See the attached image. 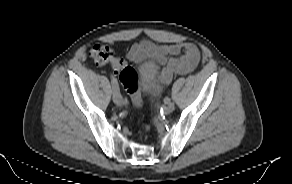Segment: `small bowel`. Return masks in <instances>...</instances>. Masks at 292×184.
<instances>
[{"mask_svg":"<svg viewBox=\"0 0 292 184\" xmlns=\"http://www.w3.org/2000/svg\"><path fill=\"white\" fill-rule=\"evenodd\" d=\"M127 58L141 64L147 60H155L164 67L157 76L160 85H167L174 75H185L192 72L198 65L200 53L198 48L189 42L173 44H156L149 40H142L132 45L127 51ZM111 65L116 73L124 66L126 61L115 57Z\"/></svg>","mask_w":292,"mask_h":184,"instance_id":"small-bowel-1","label":"small bowel"}]
</instances>
